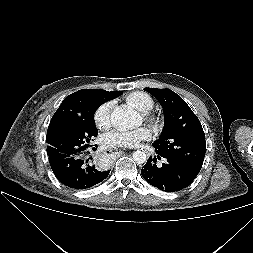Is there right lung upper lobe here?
I'll list each match as a JSON object with an SVG mask.
<instances>
[{
  "instance_id": "1",
  "label": "right lung upper lobe",
  "mask_w": 253,
  "mask_h": 253,
  "mask_svg": "<svg viewBox=\"0 0 253 253\" xmlns=\"http://www.w3.org/2000/svg\"><path fill=\"white\" fill-rule=\"evenodd\" d=\"M122 94L121 91H105L95 89L79 90L67 96L60 107L53 115L49 124L47 135L61 122L68 121L81 114L85 108L87 100L91 97H98L101 101L106 102Z\"/></svg>"
}]
</instances>
